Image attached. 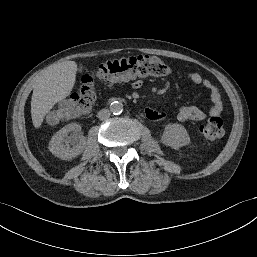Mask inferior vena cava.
Returning a JSON list of instances; mask_svg holds the SVG:
<instances>
[{
  "label": "inferior vena cava",
  "instance_id": "obj_1",
  "mask_svg": "<svg viewBox=\"0 0 257 257\" xmlns=\"http://www.w3.org/2000/svg\"><path fill=\"white\" fill-rule=\"evenodd\" d=\"M110 111L108 109H102L98 112V118L100 120H105L108 119L110 117Z\"/></svg>",
  "mask_w": 257,
  "mask_h": 257
}]
</instances>
